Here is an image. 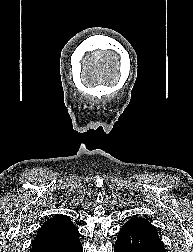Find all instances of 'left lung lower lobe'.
<instances>
[{"instance_id": "1", "label": "left lung lower lobe", "mask_w": 193, "mask_h": 252, "mask_svg": "<svg viewBox=\"0 0 193 252\" xmlns=\"http://www.w3.org/2000/svg\"><path fill=\"white\" fill-rule=\"evenodd\" d=\"M114 252H166V250L152 225L128 224L121 228Z\"/></svg>"}]
</instances>
